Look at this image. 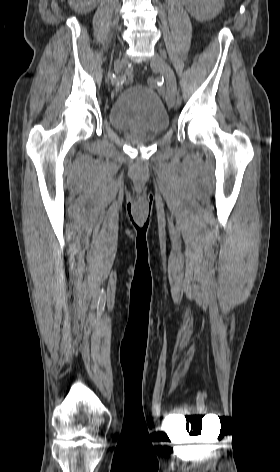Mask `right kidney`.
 Here are the masks:
<instances>
[{
    "mask_svg": "<svg viewBox=\"0 0 280 472\" xmlns=\"http://www.w3.org/2000/svg\"><path fill=\"white\" fill-rule=\"evenodd\" d=\"M98 2L99 0H77L75 7L82 12L87 13L93 10L97 6Z\"/></svg>",
    "mask_w": 280,
    "mask_h": 472,
    "instance_id": "obj_1",
    "label": "right kidney"
}]
</instances>
